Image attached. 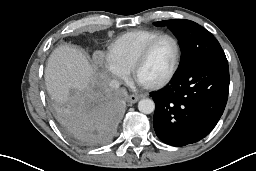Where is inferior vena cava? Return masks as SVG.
<instances>
[{
	"label": "inferior vena cava",
	"mask_w": 256,
	"mask_h": 171,
	"mask_svg": "<svg viewBox=\"0 0 256 171\" xmlns=\"http://www.w3.org/2000/svg\"><path fill=\"white\" fill-rule=\"evenodd\" d=\"M109 86L112 89H118L120 87V82L116 79L111 80V82L109 83Z\"/></svg>",
	"instance_id": "602c4592"
}]
</instances>
